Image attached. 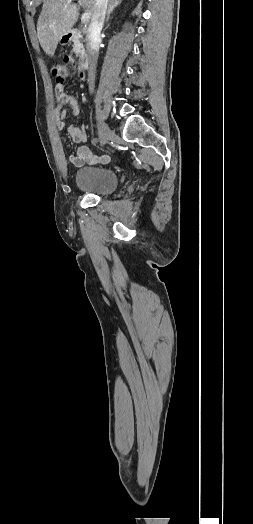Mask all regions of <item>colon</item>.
<instances>
[{"label": "colon", "instance_id": "5ec220e1", "mask_svg": "<svg viewBox=\"0 0 253 524\" xmlns=\"http://www.w3.org/2000/svg\"><path fill=\"white\" fill-rule=\"evenodd\" d=\"M51 74L55 78V88L62 90L71 75H74L76 79H83L86 72L78 65L76 53H63L61 64H54L51 67Z\"/></svg>", "mask_w": 253, "mask_h": 524}]
</instances>
